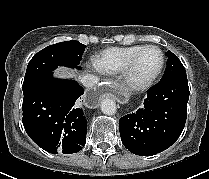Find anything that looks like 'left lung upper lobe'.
I'll return each mask as SVG.
<instances>
[{
  "label": "left lung upper lobe",
  "mask_w": 209,
  "mask_h": 179,
  "mask_svg": "<svg viewBox=\"0 0 209 179\" xmlns=\"http://www.w3.org/2000/svg\"><path fill=\"white\" fill-rule=\"evenodd\" d=\"M166 56L168 57L167 60V67L165 70V73L160 81H166L168 79L181 76V75H186V71L184 69V66L172 52L168 51L166 53Z\"/></svg>",
  "instance_id": "obj_1"
}]
</instances>
